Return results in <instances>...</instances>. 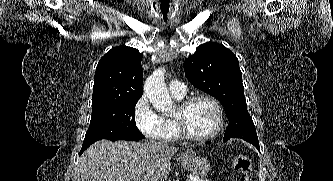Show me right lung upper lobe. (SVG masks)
I'll return each mask as SVG.
<instances>
[{"mask_svg":"<svg viewBox=\"0 0 333 181\" xmlns=\"http://www.w3.org/2000/svg\"><path fill=\"white\" fill-rule=\"evenodd\" d=\"M142 56L135 48L119 46L101 58L94 76L93 108L142 96Z\"/></svg>","mask_w":333,"mask_h":181,"instance_id":"obj_1","label":"right lung upper lobe"}]
</instances>
